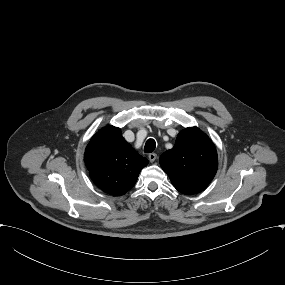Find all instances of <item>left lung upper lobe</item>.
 Masks as SVG:
<instances>
[{"mask_svg":"<svg viewBox=\"0 0 285 285\" xmlns=\"http://www.w3.org/2000/svg\"><path fill=\"white\" fill-rule=\"evenodd\" d=\"M160 165L179 192L195 194L214 178L217 152L205 133L197 127L186 128L178 134L174 147L160 156Z\"/></svg>","mask_w":285,"mask_h":285,"instance_id":"5c2ea615","label":"left lung upper lobe"}]
</instances>
